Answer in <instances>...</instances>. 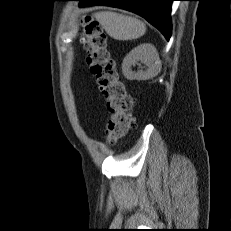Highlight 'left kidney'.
<instances>
[{
    "label": "left kidney",
    "mask_w": 231,
    "mask_h": 231,
    "mask_svg": "<svg viewBox=\"0 0 231 231\" xmlns=\"http://www.w3.org/2000/svg\"><path fill=\"white\" fill-rule=\"evenodd\" d=\"M140 61L146 66V70L137 72L131 70V66ZM161 69L156 48L150 43L140 44L129 52L122 63V72L128 80H149L155 77Z\"/></svg>",
    "instance_id": "left-kidney-1"
}]
</instances>
